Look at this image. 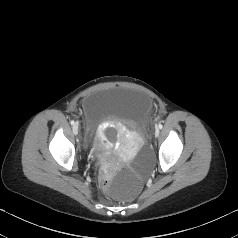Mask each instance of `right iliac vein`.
<instances>
[{"instance_id":"63e3f726","label":"right iliac vein","mask_w":238,"mask_h":238,"mask_svg":"<svg viewBox=\"0 0 238 238\" xmlns=\"http://www.w3.org/2000/svg\"><path fill=\"white\" fill-rule=\"evenodd\" d=\"M72 129H73V133H74L75 135H77V134H78V131H79V124H78V122H76V123L73 124Z\"/></svg>"}]
</instances>
